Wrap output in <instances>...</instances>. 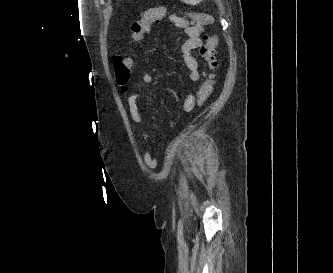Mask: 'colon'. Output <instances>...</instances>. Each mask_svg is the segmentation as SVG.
<instances>
[{
    "label": "colon",
    "mask_w": 333,
    "mask_h": 273,
    "mask_svg": "<svg viewBox=\"0 0 333 273\" xmlns=\"http://www.w3.org/2000/svg\"><path fill=\"white\" fill-rule=\"evenodd\" d=\"M168 12V9L162 6L145 11L137 21L133 22L131 26V35L134 42H141L145 35L150 32L151 27L165 18ZM185 15L188 16L193 22L201 25H208L214 21L213 16L207 13L186 12ZM217 44V35H205L204 41L199 47V54L207 63V71L196 94V104L198 106L203 105L214 90L215 70L218 66L215 56ZM133 65L134 57L132 55H119L114 59L116 81L123 91H126L127 85L131 80Z\"/></svg>",
    "instance_id": "1"
}]
</instances>
